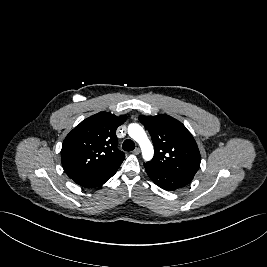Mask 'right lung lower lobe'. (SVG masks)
<instances>
[{
  "label": "right lung lower lobe",
  "mask_w": 267,
  "mask_h": 267,
  "mask_svg": "<svg viewBox=\"0 0 267 267\" xmlns=\"http://www.w3.org/2000/svg\"><path fill=\"white\" fill-rule=\"evenodd\" d=\"M120 165L121 163H115L93 170L89 173L74 178L73 181L85 188L99 187L116 173Z\"/></svg>",
  "instance_id": "1"
}]
</instances>
